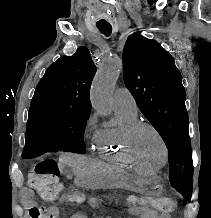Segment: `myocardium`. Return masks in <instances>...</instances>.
<instances>
[{"label":"myocardium","mask_w":211,"mask_h":218,"mask_svg":"<svg viewBox=\"0 0 211 218\" xmlns=\"http://www.w3.org/2000/svg\"><path fill=\"white\" fill-rule=\"evenodd\" d=\"M142 128H147L151 130L158 138L163 151V159L160 164L163 165L166 162L167 155H168V150L165 140L162 134L160 133V131L153 124L141 120H137L134 123H132L125 132V147L130 156L131 161L139 165H143V163L135 155V137L138 131Z\"/></svg>","instance_id":"myocardium-1"}]
</instances>
